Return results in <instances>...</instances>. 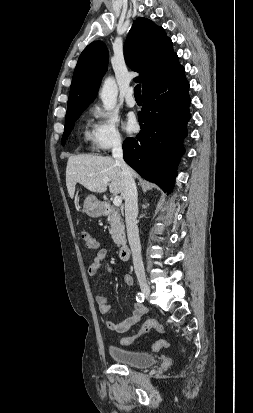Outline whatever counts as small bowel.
<instances>
[{
	"label": "small bowel",
	"instance_id": "1",
	"mask_svg": "<svg viewBox=\"0 0 253 413\" xmlns=\"http://www.w3.org/2000/svg\"><path fill=\"white\" fill-rule=\"evenodd\" d=\"M106 256H107V250L102 248L100 249L95 257L93 258V260L90 262L87 272L90 276H94L97 274V272L100 270V268L102 266L105 267V269L111 273L112 269L110 266L105 264V260H106ZM124 282L125 284H127L128 286H131L133 284V279L130 275H125L124 276ZM96 301L98 304V308L99 311L102 314H108L113 310L112 305L109 304V302L107 301V299L101 295H98L96 297ZM146 312V309L143 306L140 305H136L135 309L132 313V315L120 322H113L110 320L105 321V327L108 330L114 331V332H118V333H123L126 332L127 330H129L132 326H134L135 324L138 323V321L140 320L141 316Z\"/></svg>",
	"mask_w": 253,
	"mask_h": 413
}]
</instances>
